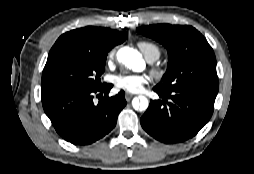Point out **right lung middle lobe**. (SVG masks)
Wrapping results in <instances>:
<instances>
[{
	"instance_id": "1",
	"label": "right lung middle lobe",
	"mask_w": 254,
	"mask_h": 174,
	"mask_svg": "<svg viewBox=\"0 0 254 174\" xmlns=\"http://www.w3.org/2000/svg\"><path fill=\"white\" fill-rule=\"evenodd\" d=\"M106 57L73 44L52 47L42 74V97L98 88Z\"/></svg>"
}]
</instances>
